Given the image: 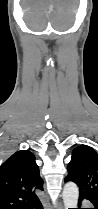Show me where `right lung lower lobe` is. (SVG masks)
Wrapping results in <instances>:
<instances>
[{"mask_svg": "<svg viewBox=\"0 0 98 209\" xmlns=\"http://www.w3.org/2000/svg\"><path fill=\"white\" fill-rule=\"evenodd\" d=\"M25 209H43V207H42L41 202H40L39 199H38L35 203L29 205V206L26 207Z\"/></svg>", "mask_w": 98, "mask_h": 209, "instance_id": "98d812e1", "label": "right lung lower lobe"}]
</instances>
